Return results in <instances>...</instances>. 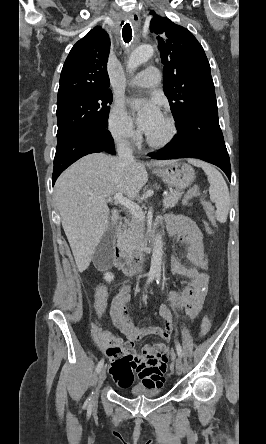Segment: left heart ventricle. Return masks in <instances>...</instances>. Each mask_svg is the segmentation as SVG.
<instances>
[{
    "label": "left heart ventricle",
    "instance_id": "1",
    "mask_svg": "<svg viewBox=\"0 0 266 444\" xmlns=\"http://www.w3.org/2000/svg\"><path fill=\"white\" fill-rule=\"evenodd\" d=\"M168 133L169 126L166 119L163 117L147 135L155 141H161L168 135Z\"/></svg>",
    "mask_w": 266,
    "mask_h": 444
}]
</instances>
